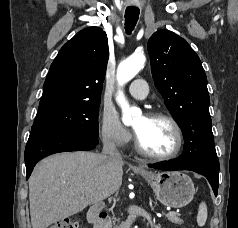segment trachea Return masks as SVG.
<instances>
[{
    "instance_id": "trachea-1",
    "label": "trachea",
    "mask_w": 238,
    "mask_h": 228,
    "mask_svg": "<svg viewBox=\"0 0 238 228\" xmlns=\"http://www.w3.org/2000/svg\"><path fill=\"white\" fill-rule=\"evenodd\" d=\"M139 18V10L126 9L125 11V30L127 34H131Z\"/></svg>"
}]
</instances>
